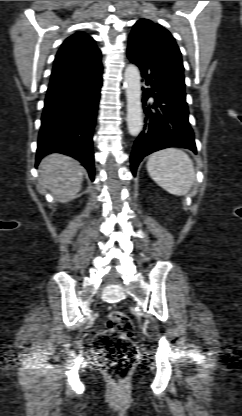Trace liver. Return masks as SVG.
<instances>
[{"label": "liver", "mask_w": 242, "mask_h": 416, "mask_svg": "<svg viewBox=\"0 0 242 416\" xmlns=\"http://www.w3.org/2000/svg\"><path fill=\"white\" fill-rule=\"evenodd\" d=\"M83 174L81 164L63 154L48 155L40 163L41 185L62 203L76 197L81 189Z\"/></svg>", "instance_id": "obj_1"}]
</instances>
